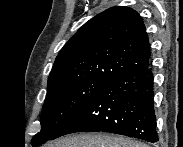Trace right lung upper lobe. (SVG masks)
<instances>
[{
    "label": "right lung upper lobe",
    "instance_id": "obj_1",
    "mask_svg": "<svg viewBox=\"0 0 183 147\" xmlns=\"http://www.w3.org/2000/svg\"><path fill=\"white\" fill-rule=\"evenodd\" d=\"M150 66L145 25L128 7H113L85 23L56 57L48 87L83 79L111 82Z\"/></svg>",
    "mask_w": 183,
    "mask_h": 147
}]
</instances>
